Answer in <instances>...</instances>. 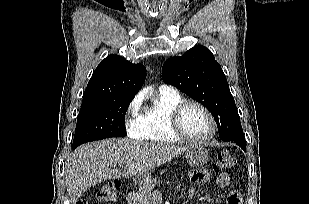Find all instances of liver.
<instances>
[{
    "mask_svg": "<svg viewBox=\"0 0 309 204\" xmlns=\"http://www.w3.org/2000/svg\"><path fill=\"white\" fill-rule=\"evenodd\" d=\"M188 148L128 138H111L84 144L65 163L67 192L71 201L76 202L82 193L98 183L145 174Z\"/></svg>",
    "mask_w": 309,
    "mask_h": 204,
    "instance_id": "1",
    "label": "liver"
}]
</instances>
